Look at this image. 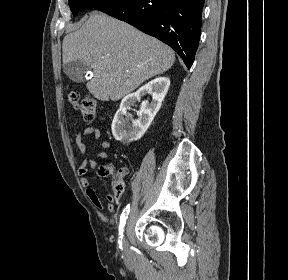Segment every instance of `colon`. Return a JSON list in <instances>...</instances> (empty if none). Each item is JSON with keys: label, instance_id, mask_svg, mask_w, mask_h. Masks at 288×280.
<instances>
[{"label": "colon", "instance_id": "colon-1", "mask_svg": "<svg viewBox=\"0 0 288 280\" xmlns=\"http://www.w3.org/2000/svg\"><path fill=\"white\" fill-rule=\"evenodd\" d=\"M69 102L75 107L80 109L85 121L92 122L95 119L97 100L91 95L85 96L81 102H79V93L77 91H71L68 94ZM99 172L102 175L113 176L112 191L113 195H120L123 191V177L120 174V170L114 175L113 171L105 166L99 168Z\"/></svg>", "mask_w": 288, "mask_h": 280}]
</instances>
